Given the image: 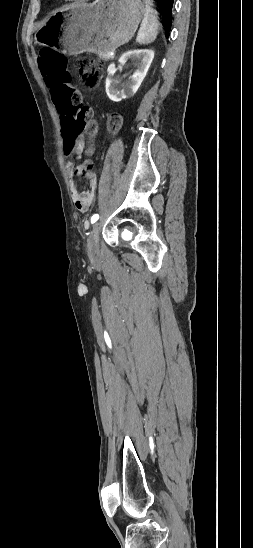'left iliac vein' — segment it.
Here are the masks:
<instances>
[{
  "label": "left iliac vein",
  "instance_id": "4c4485c4",
  "mask_svg": "<svg viewBox=\"0 0 253 548\" xmlns=\"http://www.w3.org/2000/svg\"><path fill=\"white\" fill-rule=\"evenodd\" d=\"M99 232H100V223L96 222L87 239L88 255L90 259H97L99 256V245H98Z\"/></svg>",
  "mask_w": 253,
  "mask_h": 548
}]
</instances>
